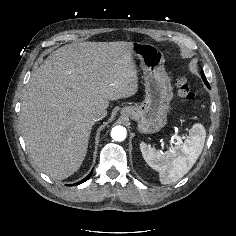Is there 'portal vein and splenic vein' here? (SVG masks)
<instances>
[{"label": "portal vein and splenic vein", "mask_w": 236, "mask_h": 236, "mask_svg": "<svg viewBox=\"0 0 236 236\" xmlns=\"http://www.w3.org/2000/svg\"><path fill=\"white\" fill-rule=\"evenodd\" d=\"M175 139L177 140V143H182V138L179 135H175Z\"/></svg>", "instance_id": "1"}]
</instances>
